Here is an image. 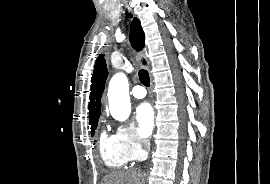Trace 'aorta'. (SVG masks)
<instances>
[{
	"label": "aorta",
	"mask_w": 270,
	"mask_h": 184,
	"mask_svg": "<svg viewBox=\"0 0 270 184\" xmlns=\"http://www.w3.org/2000/svg\"><path fill=\"white\" fill-rule=\"evenodd\" d=\"M108 100L112 117L118 121L127 120L131 112V104L128 79L124 73H116L111 78L108 88Z\"/></svg>",
	"instance_id": "762f6f07"
}]
</instances>
